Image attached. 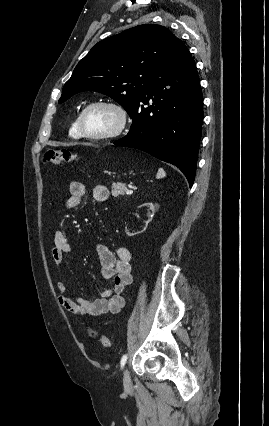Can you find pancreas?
Returning <instances> with one entry per match:
<instances>
[{"instance_id":"cf45deb5","label":"pancreas","mask_w":269,"mask_h":426,"mask_svg":"<svg viewBox=\"0 0 269 426\" xmlns=\"http://www.w3.org/2000/svg\"><path fill=\"white\" fill-rule=\"evenodd\" d=\"M126 191H127L126 185L123 184V183H118V184L112 185L111 193H112V196H114V197L124 195Z\"/></svg>"}]
</instances>
